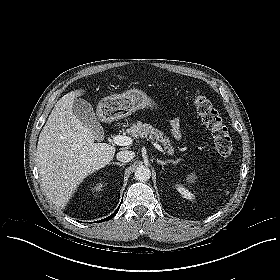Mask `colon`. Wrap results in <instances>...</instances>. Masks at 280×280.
<instances>
[{
	"mask_svg": "<svg viewBox=\"0 0 280 280\" xmlns=\"http://www.w3.org/2000/svg\"><path fill=\"white\" fill-rule=\"evenodd\" d=\"M192 101L202 122L210 130L217 152L220 156L228 158L232 151V142L228 130L223 124L219 111L207 98L194 94Z\"/></svg>",
	"mask_w": 280,
	"mask_h": 280,
	"instance_id": "obj_1",
	"label": "colon"
}]
</instances>
